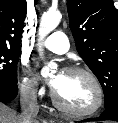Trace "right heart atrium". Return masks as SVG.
<instances>
[{"instance_id":"1","label":"right heart atrium","mask_w":118,"mask_h":123,"mask_svg":"<svg viewBox=\"0 0 118 123\" xmlns=\"http://www.w3.org/2000/svg\"><path fill=\"white\" fill-rule=\"evenodd\" d=\"M20 90L23 96L29 99H36L44 94V88L40 85L37 78L31 75L26 69L20 82Z\"/></svg>"}]
</instances>
